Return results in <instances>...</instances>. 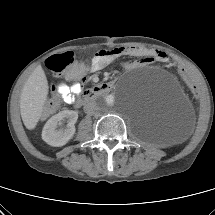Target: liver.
Instances as JSON below:
<instances>
[{"mask_svg":"<svg viewBox=\"0 0 215 215\" xmlns=\"http://www.w3.org/2000/svg\"><path fill=\"white\" fill-rule=\"evenodd\" d=\"M48 81L41 65H38L23 86L20 96V113L25 127H36L47 100Z\"/></svg>","mask_w":215,"mask_h":215,"instance_id":"liver-1","label":"liver"}]
</instances>
